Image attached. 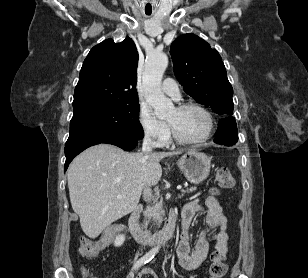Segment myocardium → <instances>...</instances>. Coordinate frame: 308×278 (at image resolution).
<instances>
[{"instance_id": "obj_1", "label": "myocardium", "mask_w": 308, "mask_h": 278, "mask_svg": "<svg viewBox=\"0 0 308 278\" xmlns=\"http://www.w3.org/2000/svg\"><path fill=\"white\" fill-rule=\"evenodd\" d=\"M189 108L198 109L206 116L207 121H208V128H207L206 133L202 137L197 138V139L186 138V137L182 136L181 134H179L174 129V127L170 124L172 135H173V137L176 141H178L179 143H182V144L204 143L211 137V135L214 131L215 121H214L213 114L205 106H203L200 103H196V102H185V103H181L180 105L177 106V109H179V110H184V109H189Z\"/></svg>"}]
</instances>
